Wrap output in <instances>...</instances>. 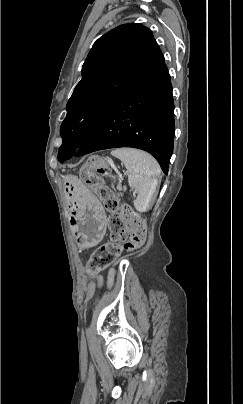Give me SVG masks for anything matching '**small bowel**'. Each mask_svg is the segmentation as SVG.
<instances>
[{"mask_svg":"<svg viewBox=\"0 0 243 404\" xmlns=\"http://www.w3.org/2000/svg\"><path fill=\"white\" fill-rule=\"evenodd\" d=\"M114 270H110L109 274H108V283L111 284L113 282L114 279ZM98 281L101 282V278H98Z\"/></svg>","mask_w":243,"mask_h":404,"instance_id":"obj_1","label":"small bowel"}]
</instances>
